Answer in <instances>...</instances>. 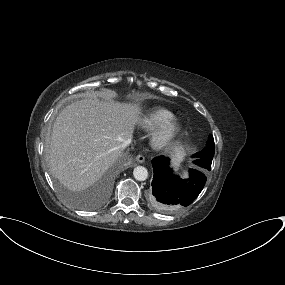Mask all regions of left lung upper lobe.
<instances>
[{"label": "left lung upper lobe", "mask_w": 285, "mask_h": 285, "mask_svg": "<svg viewBox=\"0 0 285 285\" xmlns=\"http://www.w3.org/2000/svg\"><path fill=\"white\" fill-rule=\"evenodd\" d=\"M213 156H214V140H213V137L210 136L206 147L202 151L193 155V157L197 158L194 161V163L205 169L210 170Z\"/></svg>", "instance_id": "1"}]
</instances>
